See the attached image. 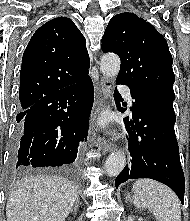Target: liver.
I'll return each instance as SVG.
<instances>
[{
    "label": "liver",
    "instance_id": "liver-1",
    "mask_svg": "<svg viewBox=\"0 0 190 221\" xmlns=\"http://www.w3.org/2000/svg\"><path fill=\"white\" fill-rule=\"evenodd\" d=\"M77 197L76 186L65 178L26 177L9 195L7 221H65Z\"/></svg>",
    "mask_w": 190,
    "mask_h": 221
}]
</instances>
